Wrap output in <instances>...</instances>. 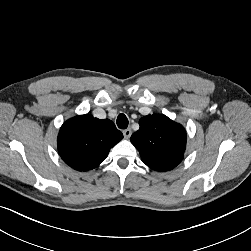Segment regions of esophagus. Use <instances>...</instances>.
I'll use <instances>...</instances> for the list:
<instances>
[{"instance_id":"obj_1","label":"esophagus","mask_w":251,"mask_h":251,"mask_svg":"<svg viewBox=\"0 0 251 251\" xmlns=\"http://www.w3.org/2000/svg\"><path fill=\"white\" fill-rule=\"evenodd\" d=\"M131 134H132V130H131L130 128H127V129H125V130L123 131V135H124V137H125L126 139L130 138Z\"/></svg>"}]
</instances>
